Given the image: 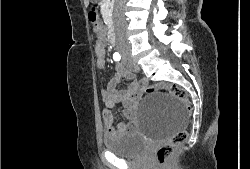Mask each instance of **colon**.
<instances>
[{"mask_svg": "<svg viewBox=\"0 0 250 169\" xmlns=\"http://www.w3.org/2000/svg\"><path fill=\"white\" fill-rule=\"evenodd\" d=\"M88 19L93 25L95 31L101 29L99 23V16L96 9L92 8L88 12ZM155 90H165L170 93L175 99L179 100L181 104H185V115H193L195 103L190 101L186 88H179L174 84L170 85H146V90H143V95H150ZM191 118L190 116L188 117ZM190 130H177L176 134H171L167 138L164 145H159V150L155 151V159L159 169H176L175 161H172V155H178V150H183V145L186 139L189 138Z\"/></svg>", "mask_w": 250, "mask_h": 169, "instance_id": "obj_1", "label": "colon"}]
</instances>
